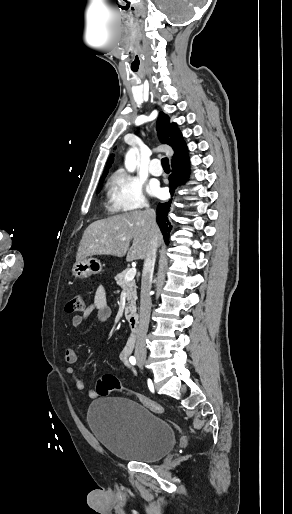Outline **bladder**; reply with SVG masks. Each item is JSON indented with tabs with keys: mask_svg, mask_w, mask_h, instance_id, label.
Wrapping results in <instances>:
<instances>
[{
	"mask_svg": "<svg viewBox=\"0 0 292 514\" xmlns=\"http://www.w3.org/2000/svg\"><path fill=\"white\" fill-rule=\"evenodd\" d=\"M87 422L99 443L120 460H159L173 449L177 440L169 422L126 398L93 401L87 411Z\"/></svg>",
	"mask_w": 292,
	"mask_h": 514,
	"instance_id": "obj_1",
	"label": "bladder"
}]
</instances>
